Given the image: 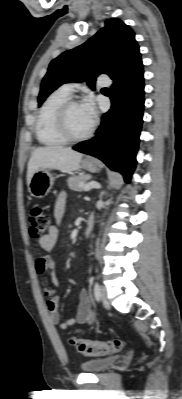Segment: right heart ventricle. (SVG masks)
<instances>
[{"instance_id":"e07e8e85","label":"right heart ventricle","mask_w":182,"mask_h":399,"mask_svg":"<svg viewBox=\"0 0 182 399\" xmlns=\"http://www.w3.org/2000/svg\"><path fill=\"white\" fill-rule=\"evenodd\" d=\"M69 98L70 93L59 88L52 92L44 101L35 125L36 136L41 144L49 147L66 144L67 141L58 132L56 115L60 106Z\"/></svg>"}]
</instances>
